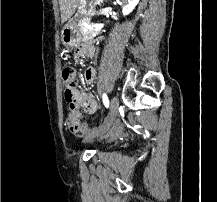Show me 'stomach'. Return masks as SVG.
Wrapping results in <instances>:
<instances>
[{
  "label": "stomach",
  "instance_id": "stomach-1",
  "mask_svg": "<svg viewBox=\"0 0 217 202\" xmlns=\"http://www.w3.org/2000/svg\"><path fill=\"white\" fill-rule=\"evenodd\" d=\"M97 2L98 0H80L74 20H69V22L65 24L61 32V40L67 52L79 48L83 40L76 18H89V20H91L92 16L95 14Z\"/></svg>",
  "mask_w": 217,
  "mask_h": 202
}]
</instances>
